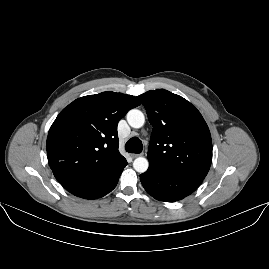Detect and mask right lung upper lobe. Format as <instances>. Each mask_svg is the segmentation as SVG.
Instances as JSON below:
<instances>
[{"label": "right lung upper lobe", "instance_id": "1", "mask_svg": "<svg viewBox=\"0 0 269 269\" xmlns=\"http://www.w3.org/2000/svg\"><path fill=\"white\" fill-rule=\"evenodd\" d=\"M136 97L102 92L76 99L57 116L47 137L49 165L55 178L65 179L103 172L122 155L117 125Z\"/></svg>", "mask_w": 269, "mask_h": 269}]
</instances>
